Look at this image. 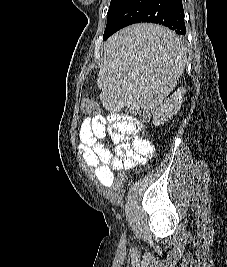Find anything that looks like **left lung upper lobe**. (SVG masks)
<instances>
[{
	"label": "left lung upper lobe",
	"mask_w": 227,
	"mask_h": 267,
	"mask_svg": "<svg viewBox=\"0 0 227 267\" xmlns=\"http://www.w3.org/2000/svg\"><path fill=\"white\" fill-rule=\"evenodd\" d=\"M127 1L128 0H111L107 18L118 11Z\"/></svg>",
	"instance_id": "obj_1"
}]
</instances>
